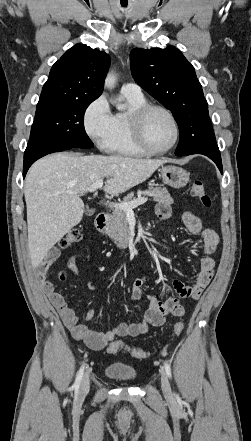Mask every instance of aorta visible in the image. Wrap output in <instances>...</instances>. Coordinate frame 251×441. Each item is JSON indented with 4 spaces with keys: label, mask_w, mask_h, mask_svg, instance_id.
Segmentation results:
<instances>
[{
    "label": "aorta",
    "mask_w": 251,
    "mask_h": 441,
    "mask_svg": "<svg viewBox=\"0 0 251 441\" xmlns=\"http://www.w3.org/2000/svg\"><path fill=\"white\" fill-rule=\"evenodd\" d=\"M115 82H116V75L113 71H111L107 74V77L105 79V87H107L108 89H113L115 86ZM117 109L124 110L125 106L124 105H117Z\"/></svg>",
    "instance_id": "762f6f07"
}]
</instances>
